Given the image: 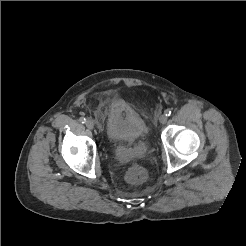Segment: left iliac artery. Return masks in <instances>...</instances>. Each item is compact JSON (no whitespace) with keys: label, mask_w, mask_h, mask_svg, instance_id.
<instances>
[{"label":"left iliac artery","mask_w":246,"mask_h":246,"mask_svg":"<svg viewBox=\"0 0 246 246\" xmlns=\"http://www.w3.org/2000/svg\"><path fill=\"white\" fill-rule=\"evenodd\" d=\"M164 113H165L166 116H170L172 112H171L170 109H167V110H165Z\"/></svg>","instance_id":"left-iliac-artery-1"}]
</instances>
